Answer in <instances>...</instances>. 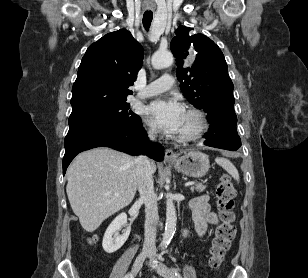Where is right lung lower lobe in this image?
<instances>
[{"label": "right lung lower lobe", "mask_w": 308, "mask_h": 278, "mask_svg": "<svg viewBox=\"0 0 308 278\" xmlns=\"http://www.w3.org/2000/svg\"><path fill=\"white\" fill-rule=\"evenodd\" d=\"M147 139L142 123L133 127L95 124L70 127L64 141L63 175L78 153L101 146L130 155L147 154L156 161H162L163 147L157 143L149 144Z\"/></svg>", "instance_id": "right-lung-lower-lobe-1"}]
</instances>
